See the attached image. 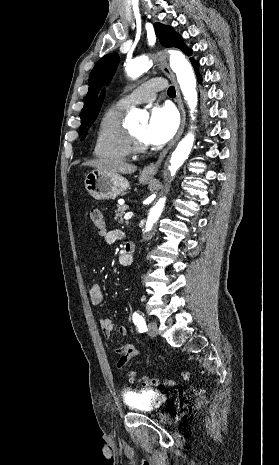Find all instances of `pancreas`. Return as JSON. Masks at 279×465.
<instances>
[{
  "instance_id": "1",
  "label": "pancreas",
  "mask_w": 279,
  "mask_h": 465,
  "mask_svg": "<svg viewBox=\"0 0 279 465\" xmlns=\"http://www.w3.org/2000/svg\"><path fill=\"white\" fill-rule=\"evenodd\" d=\"M117 210L115 211V219L118 220L119 223H123V214L128 209L126 205H118Z\"/></svg>"
}]
</instances>
